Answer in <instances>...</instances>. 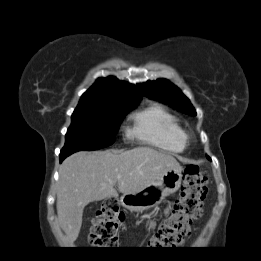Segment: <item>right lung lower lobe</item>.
Returning a JSON list of instances; mask_svg holds the SVG:
<instances>
[{
    "instance_id": "obj_1",
    "label": "right lung lower lobe",
    "mask_w": 261,
    "mask_h": 261,
    "mask_svg": "<svg viewBox=\"0 0 261 261\" xmlns=\"http://www.w3.org/2000/svg\"><path fill=\"white\" fill-rule=\"evenodd\" d=\"M70 154H61L60 153V162H62L67 156H69Z\"/></svg>"
}]
</instances>
